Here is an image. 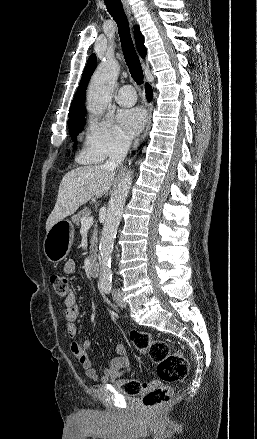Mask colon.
<instances>
[{
  "label": "colon",
  "instance_id": "5ec220e1",
  "mask_svg": "<svg viewBox=\"0 0 257 439\" xmlns=\"http://www.w3.org/2000/svg\"><path fill=\"white\" fill-rule=\"evenodd\" d=\"M50 282L59 297L64 300L69 297L68 281L63 275H52ZM130 338L135 349L156 366L160 381L139 382L131 378H119L116 380L118 388L126 394L145 392L143 403L146 407H161L170 400L172 394L166 384L185 378L188 361L182 351L172 349L166 341L155 339L147 331L132 330Z\"/></svg>",
  "mask_w": 257,
  "mask_h": 439
}]
</instances>
